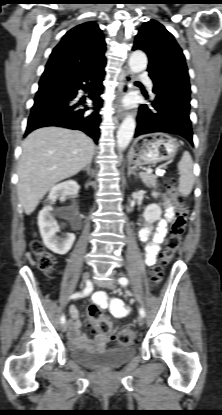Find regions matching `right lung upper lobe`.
Returning a JSON list of instances; mask_svg holds the SVG:
<instances>
[{
	"mask_svg": "<svg viewBox=\"0 0 222 415\" xmlns=\"http://www.w3.org/2000/svg\"><path fill=\"white\" fill-rule=\"evenodd\" d=\"M106 44L95 22L82 23L68 31L53 49L46 66L87 71L106 64Z\"/></svg>",
	"mask_w": 222,
	"mask_h": 415,
	"instance_id": "obj_1",
	"label": "right lung upper lobe"
}]
</instances>
